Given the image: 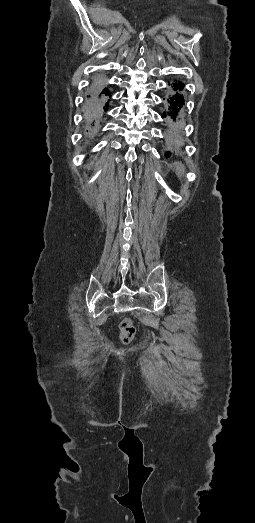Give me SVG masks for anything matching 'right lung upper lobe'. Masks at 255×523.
I'll return each mask as SVG.
<instances>
[{"instance_id":"right-lung-upper-lobe-1","label":"right lung upper lobe","mask_w":255,"mask_h":523,"mask_svg":"<svg viewBox=\"0 0 255 523\" xmlns=\"http://www.w3.org/2000/svg\"><path fill=\"white\" fill-rule=\"evenodd\" d=\"M112 94L105 81L99 79L93 85V93L87 101V117L99 121L109 110Z\"/></svg>"}]
</instances>
